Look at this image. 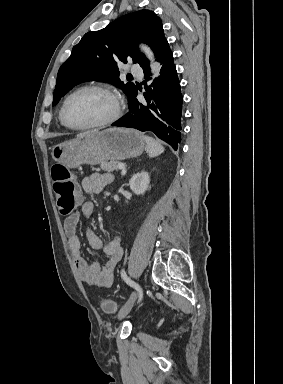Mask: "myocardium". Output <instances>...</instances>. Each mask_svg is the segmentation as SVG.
Instances as JSON below:
<instances>
[{
	"label": "myocardium",
	"instance_id": "obj_1",
	"mask_svg": "<svg viewBox=\"0 0 283 384\" xmlns=\"http://www.w3.org/2000/svg\"><path fill=\"white\" fill-rule=\"evenodd\" d=\"M84 91H98V92L105 94L110 99V101L112 103V111H111V114L103 120L97 121L95 123H92V124H89L86 126L74 127V126L69 125L66 121V117H65L66 107H67L69 100L73 96H75L81 92H84ZM120 113H121L120 101H119L117 94L114 92V90L112 88H110L109 86L103 85V84H88V85H84V86L77 88L76 90L71 92L65 98V100L62 104L61 110H60V120H61L62 125L65 128H67L68 130L85 131V130H91V129H96V128H102V127H105V126H108V125L114 123L119 118Z\"/></svg>",
	"mask_w": 283,
	"mask_h": 384
}]
</instances>
